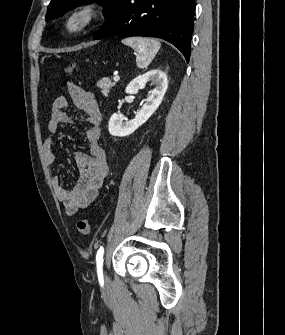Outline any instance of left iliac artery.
Wrapping results in <instances>:
<instances>
[{
	"label": "left iliac artery",
	"mask_w": 285,
	"mask_h": 335,
	"mask_svg": "<svg viewBox=\"0 0 285 335\" xmlns=\"http://www.w3.org/2000/svg\"><path fill=\"white\" fill-rule=\"evenodd\" d=\"M103 254H104V248L100 247V249L97 251V254H96L97 273H98L99 280L103 279V271H102Z\"/></svg>",
	"instance_id": "44dca946"
}]
</instances>
